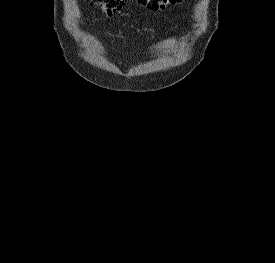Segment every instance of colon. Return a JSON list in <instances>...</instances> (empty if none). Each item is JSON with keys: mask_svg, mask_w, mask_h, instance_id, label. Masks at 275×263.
I'll return each instance as SVG.
<instances>
[{"mask_svg": "<svg viewBox=\"0 0 275 263\" xmlns=\"http://www.w3.org/2000/svg\"><path fill=\"white\" fill-rule=\"evenodd\" d=\"M181 0H136L137 4L151 11H163L178 4ZM126 0H93L104 15H112L121 10Z\"/></svg>", "mask_w": 275, "mask_h": 263, "instance_id": "colon-1", "label": "colon"}]
</instances>
